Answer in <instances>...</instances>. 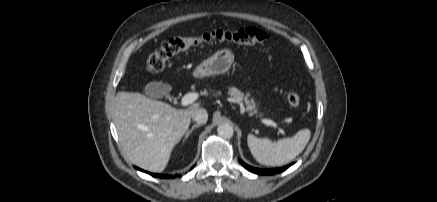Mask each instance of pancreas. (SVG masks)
<instances>
[{
	"instance_id": "1",
	"label": "pancreas",
	"mask_w": 437,
	"mask_h": 202,
	"mask_svg": "<svg viewBox=\"0 0 437 202\" xmlns=\"http://www.w3.org/2000/svg\"><path fill=\"white\" fill-rule=\"evenodd\" d=\"M228 93L233 99L241 101V102L244 101L245 105H246L247 112H249L250 114L257 113V111L255 110V103L253 100L250 101L248 99V95L244 96V94L240 90H238L237 88H234V87L229 88Z\"/></svg>"
}]
</instances>
